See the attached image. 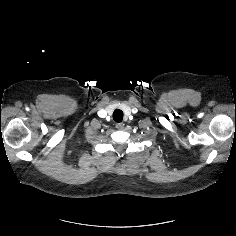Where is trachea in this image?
Here are the masks:
<instances>
[{"label":"trachea","instance_id":"3493384b","mask_svg":"<svg viewBox=\"0 0 236 236\" xmlns=\"http://www.w3.org/2000/svg\"><path fill=\"white\" fill-rule=\"evenodd\" d=\"M113 120L115 122H118V123H120L123 120V112H122V110L116 109L113 112Z\"/></svg>","mask_w":236,"mask_h":236}]
</instances>
